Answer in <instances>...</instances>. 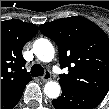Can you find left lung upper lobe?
I'll list each match as a JSON object with an SVG mask.
<instances>
[{
  "label": "left lung upper lobe",
  "instance_id": "1",
  "mask_svg": "<svg viewBox=\"0 0 109 109\" xmlns=\"http://www.w3.org/2000/svg\"><path fill=\"white\" fill-rule=\"evenodd\" d=\"M59 48L60 66L68 68L59 83L104 98L109 91V38L92 21L73 16L39 26Z\"/></svg>",
  "mask_w": 109,
  "mask_h": 109
}]
</instances>
